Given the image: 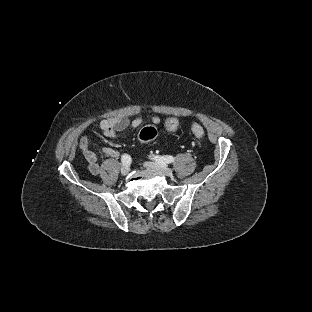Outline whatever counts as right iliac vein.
Instances as JSON below:
<instances>
[{"instance_id": "right-iliac-vein-1", "label": "right iliac vein", "mask_w": 312, "mask_h": 312, "mask_svg": "<svg viewBox=\"0 0 312 312\" xmlns=\"http://www.w3.org/2000/svg\"><path fill=\"white\" fill-rule=\"evenodd\" d=\"M129 172H130V167H129V166L123 165V166L121 167V174H122L123 176H126Z\"/></svg>"}]
</instances>
